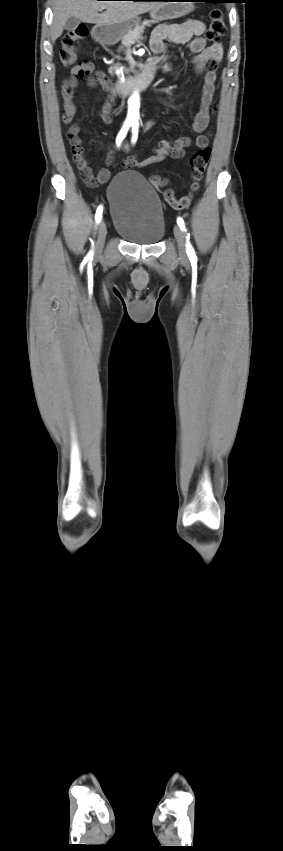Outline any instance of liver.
Listing matches in <instances>:
<instances>
[{
  "label": "liver",
  "instance_id": "liver-1",
  "mask_svg": "<svg viewBox=\"0 0 283 851\" xmlns=\"http://www.w3.org/2000/svg\"><path fill=\"white\" fill-rule=\"evenodd\" d=\"M160 5L162 2L158 1L54 0L51 40L55 42L62 35L65 23L70 17L92 24H115L135 18ZM101 7L106 11L99 14Z\"/></svg>",
  "mask_w": 283,
  "mask_h": 851
}]
</instances>
